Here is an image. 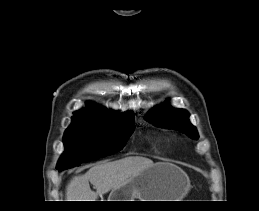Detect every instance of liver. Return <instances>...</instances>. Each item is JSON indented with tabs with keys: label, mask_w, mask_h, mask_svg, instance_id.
Returning a JSON list of instances; mask_svg holds the SVG:
<instances>
[{
	"label": "liver",
	"mask_w": 259,
	"mask_h": 211,
	"mask_svg": "<svg viewBox=\"0 0 259 211\" xmlns=\"http://www.w3.org/2000/svg\"><path fill=\"white\" fill-rule=\"evenodd\" d=\"M153 165L152 160L139 156L96 164L85 174L70 180L66 188V201H96L99 195L120 186L133 175ZM89 182L96 191L91 190Z\"/></svg>",
	"instance_id": "1"
}]
</instances>
